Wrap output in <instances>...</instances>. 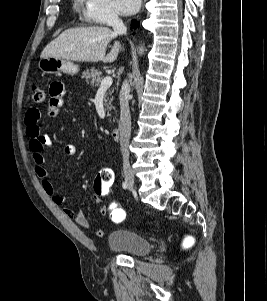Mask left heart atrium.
<instances>
[{"mask_svg":"<svg viewBox=\"0 0 267 301\" xmlns=\"http://www.w3.org/2000/svg\"><path fill=\"white\" fill-rule=\"evenodd\" d=\"M141 0H116L117 8L123 15H131L138 11Z\"/></svg>","mask_w":267,"mask_h":301,"instance_id":"obj_1","label":"left heart atrium"}]
</instances>
